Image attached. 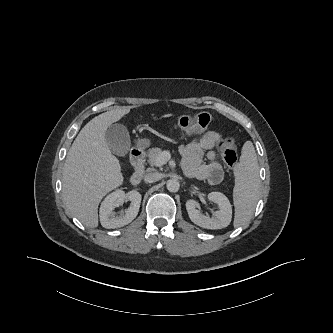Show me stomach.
<instances>
[{"mask_svg": "<svg viewBox=\"0 0 333 333\" xmlns=\"http://www.w3.org/2000/svg\"><path fill=\"white\" fill-rule=\"evenodd\" d=\"M151 145V140L148 138L138 139L136 142V146L139 149H145Z\"/></svg>", "mask_w": 333, "mask_h": 333, "instance_id": "0dacf381", "label": "stomach"}]
</instances>
